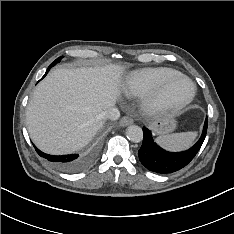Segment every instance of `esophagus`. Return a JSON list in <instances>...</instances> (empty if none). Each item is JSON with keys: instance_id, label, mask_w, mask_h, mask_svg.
<instances>
[{"instance_id": "esophagus-1", "label": "esophagus", "mask_w": 234, "mask_h": 234, "mask_svg": "<svg viewBox=\"0 0 234 234\" xmlns=\"http://www.w3.org/2000/svg\"><path fill=\"white\" fill-rule=\"evenodd\" d=\"M134 120L133 118L129 117V116H124L121 118L119 124L122 127L128 126L130 124H133Z\"/></svg>"}]
</instances>
